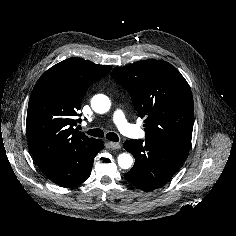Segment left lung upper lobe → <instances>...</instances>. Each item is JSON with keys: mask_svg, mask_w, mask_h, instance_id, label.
Masks as SVG:
<instances>
[{"mask_svg": "<svg viewBox=\"0 0 236 236\" xmlns=\"http://www.w3.org/2000/svg\"><path fill=\"white\" fill-rule=\"evenodd\" d=\"M111 76L131 95L139 117L144 118L146 140L189 152L193 130V97L181 73L155 59L117 67Z\"/></svg>", "mask_w": 236, "mask_h": 236, "instance_id": "obj_1", "label": "left lung upper lobe"}]
</instances>
